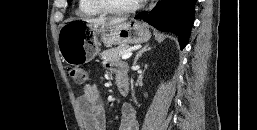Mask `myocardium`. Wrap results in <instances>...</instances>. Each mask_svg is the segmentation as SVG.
<instances>
[{
    "instance_id": "f54148a6",
    "label": "myocardium",
    "mask_w": 257,
    "mask_h": 130,
    "mask_svg": "<svg viewBox=\"0 0 257 130\" xmlns=\"http://www.w3.org/2000/svg\"><path fill=\"white\" fill-rule=\"evenodd\" d=\"M145 0H138L132 6L126 8H118L107 3L106 0H90L91 4L99 11L110 14H129L137 11L144 3Z\"/></svg>"
}]
</instances>
